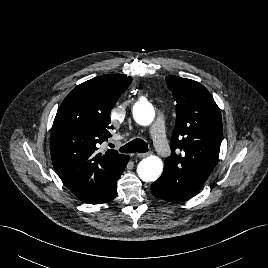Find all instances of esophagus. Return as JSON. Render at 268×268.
<instances>
[{
  "mask_svg": "<svg viewBox=\"0 0 268 268\" xmlns=\"http://www.w3.org/2000/svg\"><path fill=\"white\" fill-rule=\"evenodd\" d=\"M148 155H150V152H147V153H137L136 156L139 157V158H144V157H147Z\"/></svg>",
  "mask_w": 268,
  "mask_h": 268,
  "instance_id": "esophagus-1",
  "label": "esophagus"
}]
</instances>
